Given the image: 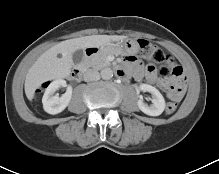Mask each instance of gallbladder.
<instances>
[{
    "mask_svg": "<svg viewBox=\"0 0 219 174\" xmlns=\"http://www.w3.org/2000/svg\"><path fill=\"white\" fill-rule=\"evenodd\" d=\"M84 57V53L82 50H77L73 53V62L74 64H79L80 62H82Z\"/></svg>",
    "mask_w": 219,
    "mask_h": 174,
    "instance_id": "bac80fb5",
    "label": "gallbladder"
}]
</instances>
